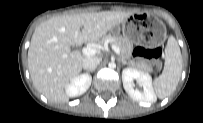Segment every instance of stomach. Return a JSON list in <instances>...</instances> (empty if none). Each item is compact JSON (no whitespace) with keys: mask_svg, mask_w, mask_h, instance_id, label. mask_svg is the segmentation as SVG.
<instances>
[{"mask_svg":"<svg viewBox=\"0 0 203 123\" xmlns=\"http://www.w3.org/2000/svg\"><path fill=\"white\" fill-rule=\"evenodd\" d=\"M120 31L131 43H142L149 47L162 45L167 37L164 24L158 18L149 15L139 20H126L121 27L113 28L110 34Z\"/></svg>","mask_w":203,"mask_h":123,"instance_id":"0dacf381","label":"stomach"}]
</instances>
